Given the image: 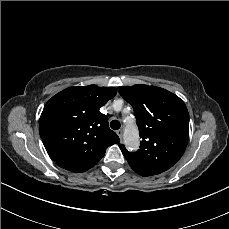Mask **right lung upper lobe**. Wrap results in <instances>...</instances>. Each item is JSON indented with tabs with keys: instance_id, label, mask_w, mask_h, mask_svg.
<instances>
[{
	"instance_id": "obj_1",
	"label": "right lung upper lobe",
	"mask_w": 229,
	"mask_h": 229,
	"mask_svg": "<svg viewBox=\"0 0 229 229\" xmlns=\"http://www.w3.org/2000/svg\"><path fill=\"white\" fill-rule=\"evenodd\" d=\"M117 93L96 85L67 88L53 96L39 119V133L50 158L71 172L87 171L120 142L100 108Z\"/></svg>"
}]
</instances>
